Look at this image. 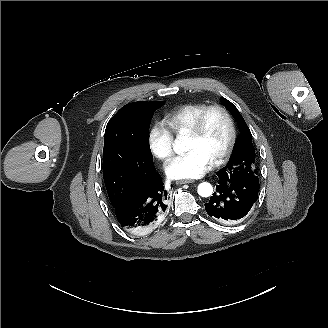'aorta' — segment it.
Masks as SVG:
<instances>
[{
	"label": "aorta",
	"mask_w": 328,
	"mask_h": 328,
	"mask_svg": "<svg viewBox=\"0 0 328 328\" xmlns=\"http://www.w3.org/2000/svg\"><path fill=\"white\" fill-rule=\"evenodd\" d=\"M173 149L177 154H181L189 149L188 140L183 136H178L174 142ZM198 194L201 197H209L213 193V187L208 182H203L198 185Z\"/></svg>",
	"instance_id": "obj_1"
}]
</instances>
